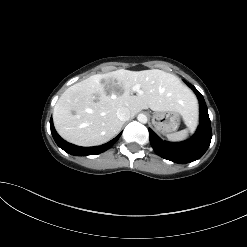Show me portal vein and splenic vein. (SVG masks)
Here are the masks:
<instances>
[{"instance_id":"obj_1","label":"portal vein and splenic vein","mask_w":247,"mask_h":247,"mask_svg":"<svg viewBox=\"0 0 247 247\" xmlns=\"http://www.w3.org/2000/svg\"><path fill=\"white\" fill-rule=\"evenodd\" d=\"M132 91L133 92H139L140 91V85H135L133 88H132Z\"/></svg>"}]
</instances>
